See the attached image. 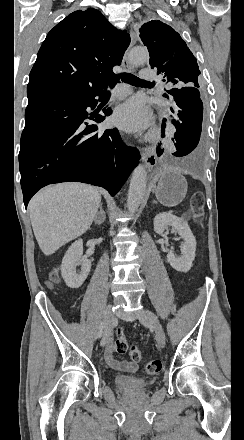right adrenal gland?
<instances>
[{
  "label": "right adrenal gland",
  "instance_id": "obj_1",
  "mask_svg": "<svg viewBox=\"0 0 244 440\" xmlns=\"http://www.w3.org/2000/svg\"><path fill=\"white\" fill-rule=\"evenodd\" d=\"M99 210H100V212H97L96 216H100V214H103V216L105 218L106 214H105V212L103 210V204H100ZM101 224H102V222H101Z\"/></svg>",
  "mask_w": 244,
  "mask_h": 440
}]
</instances>
